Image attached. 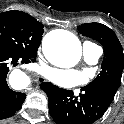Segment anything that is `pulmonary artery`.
I'll return each instance as SVG.
<instances>
[{"label": "pulmonary artery", "mask_w": 124, "mask_h": 124, "mask_svg": "<svg viewBox=\"0 0 124 124\" xmlns=\"http://www.w3.org/2000/svg\"><path fill=\"white\" fill-rule=\"evenodd\" d=\"M83 55L87 63L95 64L102 55V49L94 43L85 42L83 44Z\"/></svg>", "instance_id": "obj_1"}]
</instances>
